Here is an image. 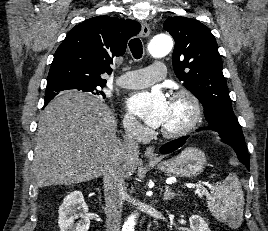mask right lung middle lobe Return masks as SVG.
<instances>
[{
	"mask_svg": "<svg viewBox=\"0 0 268 231\" xmlns=\"http://www.w3.org/2000/svg\"><path fill=\"white\" fill-rule=\"evenodd\" d=\"M68 89H77V90H81L83 92H90L92 94H97V95L101 94L105 98L104 93L99 90L100 87H94V86L80 87V88L57 86V87H52V88H46V93L45 94L46 95H53L55 97L57 95V92L63 91V90H68Z\"/></svg>",
	"mask_w": 268,
	"mask_h": 231,
	"instance_id": "1",
	"label": "right lung middle lobe"
}]
</instances>
